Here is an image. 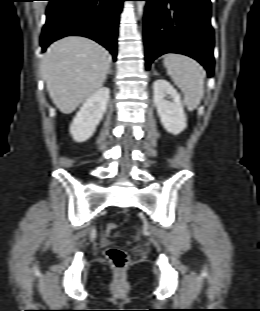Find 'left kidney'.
<instances>
[{
  "label": "left kidney",
  "mask_w": 260,
  "mask_h": 311,
  "mask_svg": "<svg viewBox=\"0 0 260 311\" xmlns=\"http://www.w3.org/2000/svg\"><path fill=\"white\" fill-rule=\"evenodd\" d=\"M153 90L154 105L163 127L173 135L181 133L187 127V119L179 93L164 79L156 80Z\"/></svg>",
  "instance_id": "obj_1"
}]
</instances>
